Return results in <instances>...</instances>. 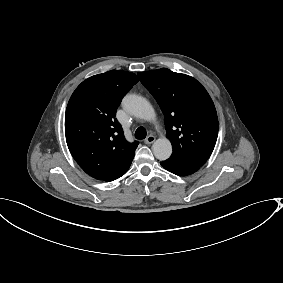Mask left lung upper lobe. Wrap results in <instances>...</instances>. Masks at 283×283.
Listing matches in <instances>:
<instances>
[{"label": "left lung upper lobe", "mask_w": 283, "mask_h": 283, "mask_svg": "<svg viewBox=\"0 0 283 283\" xmlns=\"http://www.w3.org/2000/svg\"><path fill=\"white\" fill-rule=\"evenodd\" d=\"M142 84L154 96L165 118L170 158L202 166L218 136V118L206 89L193 77L167 68L139 72Z\"/></svg>", "instance_id": "5c2ea615"}]
</instances>
